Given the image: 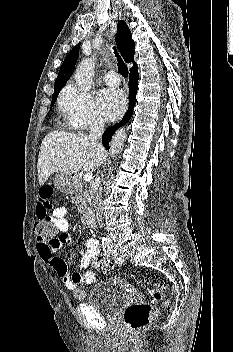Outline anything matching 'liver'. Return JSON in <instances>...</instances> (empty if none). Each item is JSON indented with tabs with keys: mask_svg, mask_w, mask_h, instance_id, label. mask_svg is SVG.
<instances>
[{
	"mask_svg": "<svg viewBox=\"0 0 233 352\" xmlns=\"http://www.w3.org/2000/svg\"><path fill=\"white\" fill-rule=\"evenodd\" d=\"M105 159L104 148L83 133L52 131L43 139L38 156V179L43 185L54 172L95 171Z\"/></svg>",
	"mask_w": 233,
	"mask_h": 352,
	"instance_id": "liver-1",
	"label": "liver"
}]
</instances>
